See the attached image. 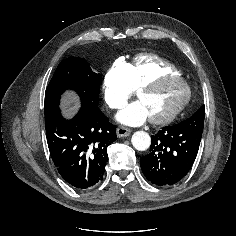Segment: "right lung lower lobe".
<instances>
[{
    "mask_svg": "<svg viewBox=\"0 0 236 236\" xmlns=\"http://www.w3.org/2000/svg\"><path fill=\"white\" fill-rule=\"evenodd\" d=\"M51 158L62 178L76 189H90L102 180L107 147L117 139L116 126L100 111L80 108L72 119L45 117Z\"/></svg>",
    "mask_w": 236,
    "mask_h": 236,
    "instance_id": "1",
    "label": "right lung lower lobe"
}]
</instances>
